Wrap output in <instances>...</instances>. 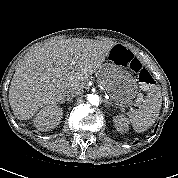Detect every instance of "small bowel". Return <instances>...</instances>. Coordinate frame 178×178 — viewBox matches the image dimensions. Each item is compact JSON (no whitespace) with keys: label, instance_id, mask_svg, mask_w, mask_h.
I'll return each mask as SVG.
<instances>
[{"label":"small bowel","instance_id":"c3829d8e","mask_svg":"<svg viewBox=\"0 0 178 178\" xmlns=\"http://www.w3.org/2000/svg\"><path fill=\"white\" fill-rule=\"evenodd\" d=\"M120 50H121L120 60L124 61L129 57L130 52H129V50H127V49H125L123 47H121Z\"/></svg>","mask_w":178,"mask_h":178}]
</instances>
